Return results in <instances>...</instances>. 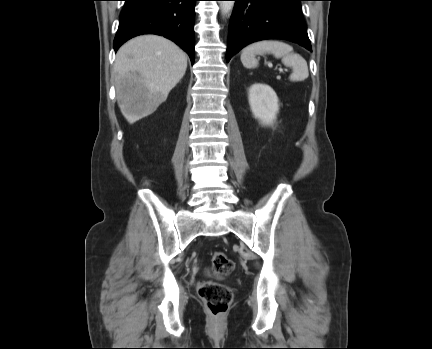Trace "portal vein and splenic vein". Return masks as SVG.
Instances as JSON below:
<instances>
[{
  "instance_id": "obj_1",
  "label": "portal vein and splenic vein",
  "mask_w": 432,
  "mask_h": 349,
  "mask_svg": "<svg viewBox=\"0 0 432 349\" xmlns=\"http://www.w3.org/2000/svg\"><path fill=\"white\" fill-rule=\"evenodd\" d=\"M268 65H269L270 67L272 66V64H271V63H268ZM279 71H281V72H282V71H283V69H282V68H280V69H279Z\"/></svg>"
}]
</instances>
